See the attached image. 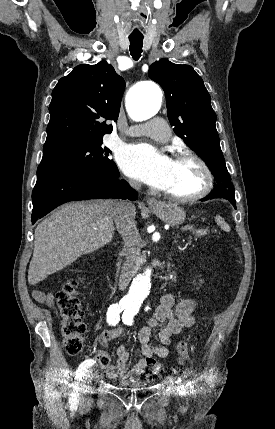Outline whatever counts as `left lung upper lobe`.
<instances>
[{
    "mask_svg": "<svg viewBox=\"0 0 275 429\" xmlns=\"http://www.w3.org/2000/svg\"><path fill=\"white\" fill-rule=\"evenodd\" d=\"M148 74L165 92L167 116L174 132L211 170L214 189L235 191L220 148L216 114L202 78L191 66L167 59L153 63Z\"/></svg>",
    "mask_w": 275,
    "mask_h": 429,
    "instance_id": "1",
    "label": "left lung upper lobe"
}]
</instances>
